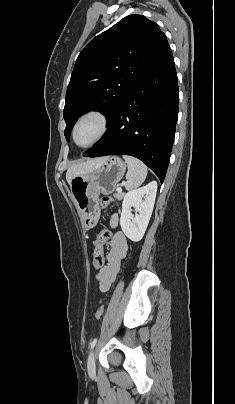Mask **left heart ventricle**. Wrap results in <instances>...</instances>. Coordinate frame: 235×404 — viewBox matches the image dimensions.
Instances as JSON below:
<instances>
[{"label":"left heart ventricle","mask_w":235,"mask_h":404,"mask_svg":"<svg viewBox=\"0 0 235 404\" xmlns=\"http://www.w3.org/2000/svg\"><path fill=\"white\" fill-rule=\"evenodd\" d=\"M98 132V123L94 119H88L83 122L77 131V141L85 144L92 140Z\"/></svg>","instance_id":"b2bd125f"}]
</instances>
